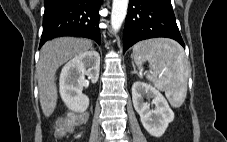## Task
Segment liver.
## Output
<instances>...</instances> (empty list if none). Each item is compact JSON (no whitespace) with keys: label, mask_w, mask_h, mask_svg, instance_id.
<instances>
[{"label":"liver","mask_w":227,"mask_h":142,"mask_svg":"<svg viewBox=\"0 0 227 142\" xmlns=\"http://www.w3.org/2000/svg\"><path fill=\"white\" fill-rule=\"evenodd\" d=\"M92 49V41L84 38L61 37L46 42L40 50L36 68L40 106L46 117L52 115L57 104L55 74L58 68L73 57Z\"/></svg>","instance_id":"6515ba94"}]
</instances>
